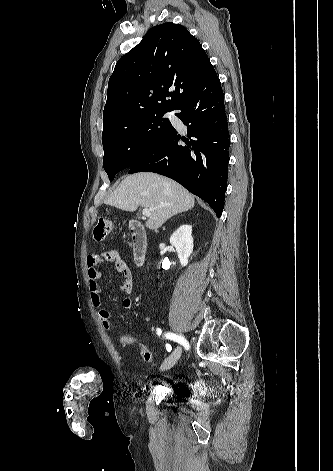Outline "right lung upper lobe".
<instances>
[{
    "label": "right lung upper lobe",
    "mask_w": 333,
    "mask_h": 471,
    "mask_svg": "<svg viewBox=\"0 0 333 471\" xmlns=\"http://www.w3.org/2000/svg\"><path fill=\"white\" fill-rule=\"evenodd\" d=\"M214 75L201 44L185 27L172 22L152 27L115 66L108 83L103 131L143 111L175 110Z\"/></svg>",
    "instance_id": "right-lung-upper-lobe-1"
}]
</instances>
